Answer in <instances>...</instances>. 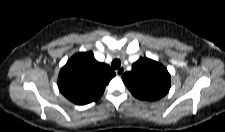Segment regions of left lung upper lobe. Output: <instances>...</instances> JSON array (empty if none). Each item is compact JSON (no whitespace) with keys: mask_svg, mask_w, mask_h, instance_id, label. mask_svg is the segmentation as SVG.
<instances>
[{"mask_svg":"<svg viewBox=\"0 0 225 132\" xmlns=\"http://www.w3.org/2000/svg\"><path fill=\"white\" fill-rule=\"evenodd\" d=\"M122 79L130 92L138 99L154 101L165 96L170 89V74L160 63L140 58L132 70Z\"/></svg>","mask_w":225,"mask_h":132,"instance_id":"1","label":"left lung upper lobe"}]
</instances>
